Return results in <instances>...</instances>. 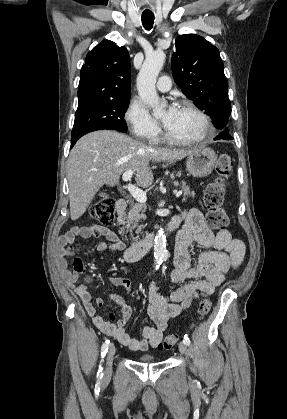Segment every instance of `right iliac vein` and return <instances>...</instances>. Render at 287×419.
<instances>
[{
  "label": "right iliac vein",
  "instance_id": "obj_1",
  "mask_svg": "<svg viewBox=\"0 0 287 419\" xmlns=\"http://www.w3.org/2000/svg\"><path fill=\"white\" fill-rule=\"evenodd\" d=\"M115 351H116L115 350V347L112 345V346H110L109 351H108V353L106 355V369H105V372H104V376L106 378H108V377L111 376V373H112V362H113V357L115 355Z\"/></svg>",
  "mask_w": 287,
  "mask_h": 419
}]
</instances>
